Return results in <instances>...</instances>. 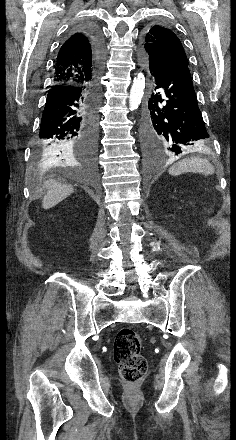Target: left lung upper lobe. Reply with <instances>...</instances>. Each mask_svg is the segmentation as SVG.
Listing matches in <instances>:
<instances>
[{"instance_id": "left-lung-upper-lobe-1", "label": "left lung upper lobe", "mask_w": 236, "mask_h": 440, "mask_svg": "<svg viewBox=\"0 0 236 440\" xmlns=\"http://www.w3.org/2000/svg\"><path fill=\"white\" fill-rule=\"evenodd\" d=\"M141 53L150 65L179 60L188 66V59L176 34L162 25H154L144 35Z\"/></svg>"}]
</instances>
